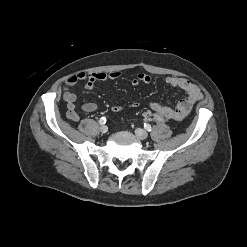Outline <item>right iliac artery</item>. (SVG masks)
Here are the masks:
<instances>
[{
  "mask_svg": "<svg viewBox=\"0 0 247 247\" xmlns=\"http://www.w3.org/2000/svg\"><path fill=\"white\" fill-rule=\"evenodd\" d=\"M99 123L101 125L105 124L106 123V118L105 117L100 118Z\"/></svg>",
  "mask_w": 247,
  "mask_h": 247,
  "instance_id": "82829eb1",
  "label": "right iliac artery"
}]
</instances>
